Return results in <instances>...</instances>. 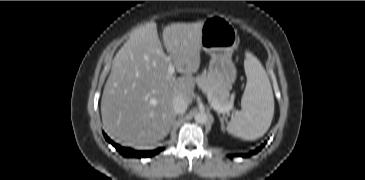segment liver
<instances>
[{
  "label": "liver",
  "mask_w": 365,
  "mask_h": 180,
  "mask_svg": "<svg viewBox=\"0 0 365 180\" xmlns=\"http://www.w3.org/2000/svg\"><path fill=\"white\" fill-rule=\"evenodd\" d=\"M203 22L173 23L164 28V47L177 72L168 73V60L155 23L133 30L117 52L101 99L105 131L120 143L145 147L164 139L176 117L172 100L187 104L194 97L193 74L200 67Z\"/></svg>",
  "instance_id": "6515ba94"
}]
</instances>
